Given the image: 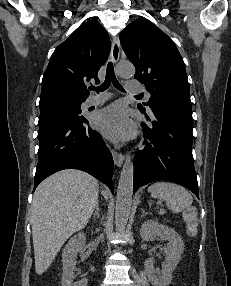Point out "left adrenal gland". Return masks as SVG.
<instances>
[{
    "label": "left adrenal gland",
    "mask_w": 231,
    "mask_h": 286,
    "mask_svg": "<svg viewBox=\"0 0 231 286\" xmlns=\"http://www.w3.org/2000/svg\"><path fill=\"white\" fill-rule=\"evenodd\" d=\"M141 211H142V216H145L147 214V212H145L143 208L141 209Z\"/></svg>",
    "instance_id": "1"
}]
</instances>
